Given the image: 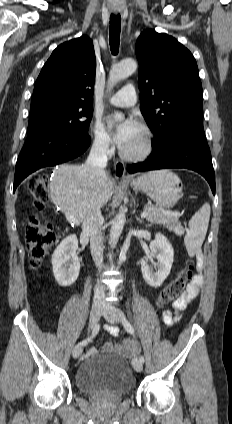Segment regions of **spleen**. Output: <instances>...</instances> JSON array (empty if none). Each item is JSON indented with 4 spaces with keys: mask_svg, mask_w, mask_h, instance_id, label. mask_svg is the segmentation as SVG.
I'll use <instances>...</instances> for the list:
<instances>
[{
    "mask_svg": "<svg viewBox=\"0 0 232 424\" xmlns=\"http://www.w3.org/2000/svg\"><path fill=\"white\" fill-rule=\"evenodd\" d=\"M209 219L210 205L208 203H205L190 219L189 230L184 237V244L190 257H193L201 249Z\"/></svg>",
    "mask_w": 232,
    "mask_h": 424,
    "instance_id": "spleen-1",
    "label": "spleen"
}]
</instances>
